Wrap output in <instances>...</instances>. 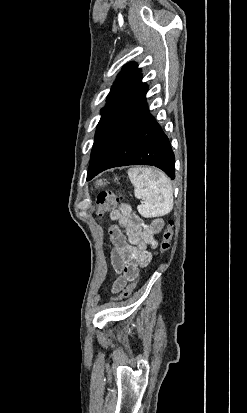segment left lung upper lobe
<instances>
[{
    "label": "left lung upper lobe",
    "instance_id": "obj_1",
    "mask_svg": "<svg viewBox=\"0 0 247 413\" xmlns=\"http://www.w3.org/2000/svg\"><path fill=\"white\" fill-rule=\"evenodd\" d=\"M147 89L148 86L141 82L137 64L125 65L111 88L105 107L101 109L102 117L97 126L94 144L141 99Z\"/></svg>",
    "mask_w": 247,
    "mask_h": 413
}]
</instances>
